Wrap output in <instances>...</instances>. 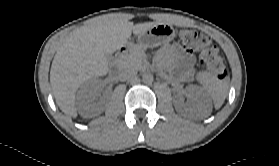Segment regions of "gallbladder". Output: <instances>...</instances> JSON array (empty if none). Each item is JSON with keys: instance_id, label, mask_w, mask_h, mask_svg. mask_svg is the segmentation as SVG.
Returning a JSON list of instances; mask_svg holds the SVG:
<instances>
[{"instance_id": "bac80fb5", "label": "gallbladder", "mask_w": 279, "mask_h": 166, "mask_svg": "<svg viewBox=\"0 0 279 166\" xmlns=\"http://www.w3.org/2000/svg\"><path fill=\"white\" fill-rule=\"evenodd\" d=\"M105 57L109 63L113 62V60H114V56L111 53H106Z\"/></svg>"}]
</instances>
